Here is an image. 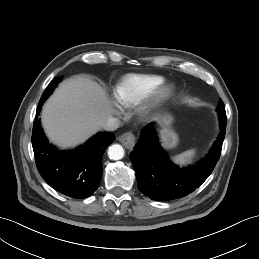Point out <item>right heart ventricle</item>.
Returning a JSON list of instances; mask_svg holds the SVG:
<instances>
[{"label":"right heart ventricle","instance_id":"right-heart-ventricle-1","mask_svg":"<svg viewBox=\"0 0 259 259\" xmlns=\"http://www.w3.org/2000/svg\"><path fill=\"white\" fill-rule=\"evenodd\" d=\"M164 83L165 78L161 76L128 75L116 86L114 97L121 106L127 107Z\"/></svg>","mask_w":259,"mask_h":259}]
</instances>
